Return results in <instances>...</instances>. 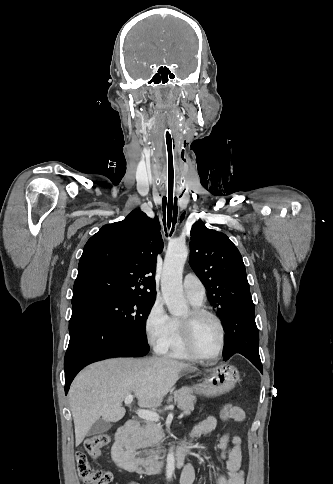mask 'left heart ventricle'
<instances>
[{
    "mask_svg": "<svg viewBox=\"0 0 333 484\" xmlns=\"http://www.w3.org/2000/svg\"><path fill=\"white\" fill-rule=\"evenodd\" d=\"M187 315L188 313L183 318ZM194 341L196 349L201 355L210 357L216 353L220 343V330L212 318L204 317L196 322Z\"/></svg>",
    "mask_w": 333,
    "mask_h": 484,
    "instance_id": "left-heart-ventricle-1",
    "label": "left heart ventricle"
}]
</instances>
